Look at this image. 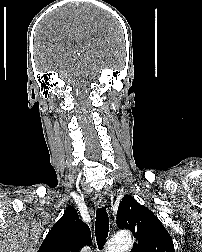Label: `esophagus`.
<instances>
[{
    "instance_id": "34e87169",
    "label": "esophagus",
    "mask_w": 202,
    "mask_h": 252,
    "mask_svg": "<svg viewBox=\"0 0 202 252\" xmlns=\"http://www.w3.org/2000/svg\"><path fill=\"white\" fill-rule=\"evenodd\" d=\"M93 199H94V204L97 207H102L106 202L101 193H96Z\"/></svg>"
}]
</instances>
